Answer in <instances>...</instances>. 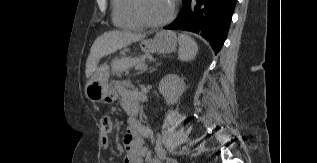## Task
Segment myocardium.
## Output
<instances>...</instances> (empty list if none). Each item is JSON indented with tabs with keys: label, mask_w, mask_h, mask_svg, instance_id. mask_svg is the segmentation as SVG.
I'll list each match as a JSON object with an SVG mask.
<instances>
[{
	"label": "myocardium",
	"mask_w": 317,
	"mask_h": 163,
	"mask_svg": "<svg viewBox=\"0 0 317 163\" xmlns=\"http://www.w3.org/2000/svg\"><path fill=\"white\" fill-rule=\"evenodd\" d=\"M133 6V11L134 14L137 18V20L145 27L148 28H160V27H164L167 24H169L175 17L176 13H177V9H178V0H172V8L171 11L169 13V15L161 20V21H150L144 13L143 10V0H133L132 3Z\"/></svg>",
	"instance_id": "myocardium-1"
}]
</instances>
